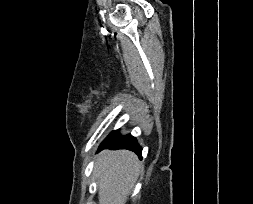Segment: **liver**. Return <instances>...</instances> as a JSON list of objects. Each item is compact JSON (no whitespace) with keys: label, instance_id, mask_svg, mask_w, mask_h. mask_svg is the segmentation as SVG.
<instances>
[{"label":"liver","instance_id":"1","mask_svg":"<svg viewBox=\"0 0 253 204\" xmlns=\"http://www.w3.org/2000/svg\"><path fill=\"white\" fill-rule=\"evenodd\" d=\"M141 167L138 157L131 151H102L94 167L99 204H125Z\"/></svg>","mask_w":253,"mask_h":204}]
</instances>
